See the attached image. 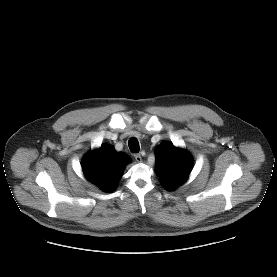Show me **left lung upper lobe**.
Returning <instances> with one entry per match:
<instances>
[{"label":"left lung upper lobe","mask_w":277,"mask_h":277,"mask_svg":"<svg viewBox=\"0 0 277 277\" xmlns=\"http://www.w3.org/2000/svg\"><path fill=\"white\" fill-rule=\"evenodd\" d=\"M155 153L156 174L167 190H174L187 180L193 165L189 153L170 143L161 144Z\"/></svg>","instance_id":"1"}]
</instances>
